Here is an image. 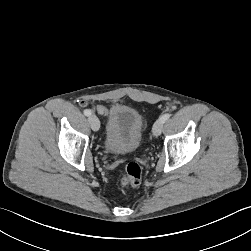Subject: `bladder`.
<instances>
[{
    "instance_id": "1",
    "label": "bladder",
    "mask_w": 251,
    "mask_h": 251,
    "mask_svg": "<svg viewBox=\"0 0 251 251\" xmlns=\"http://www.w3.org/2000/svg\"><path fill=\"white\" fill-rule=\"evenodd\" d=\"M143 139L140 113L131 106L113 104L108 113L103 139L104 150L121 155L135 151Z\"/></svg>"
}]
</instances>
